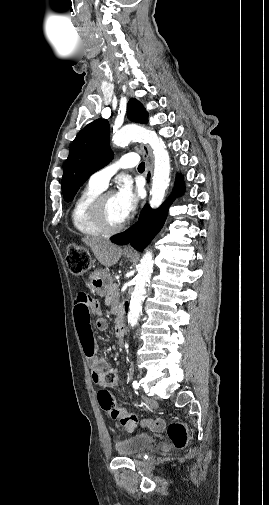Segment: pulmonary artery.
Masks as SVG:
<instances>
[{
    "mask_svg": "<svg viewBox=\"0 0 269 505\" xmlns=\"http://www.w3.org/2000/svg\"><path fill=\"white\" fill-rule=\"evenodd\" d=\"M138 155L134 153H129L121 156L118 160L113 163L101 168L100 170L93 173L89 179V182L105 189L108 185L111 177L121 168L134 167L138 163Z\"/></svg>",
    "mask_w": 269,
    "mask_h": 505,
    "instance_id": "e3ab8cb5",
    "label": "pulmonary artery"
}]
</instances>
